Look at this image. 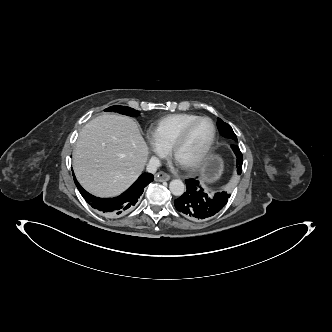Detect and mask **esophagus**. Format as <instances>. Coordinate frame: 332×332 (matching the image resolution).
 I'll return each mask as SVG.
<instances>
[{
    "instance_id": "obj_1",
    "label": "esophagus",
    "mask_w": 332,
    "mask_h": 332,
    "mask_svg": "<svg viewBox=\"0 0 332 332\" xmlns=\"http://www.w3.org/2000/svg\"><path fill=\"white\" fill-rule=\"evenodd\" d=\"M170 175L165 172H159L155 175V181L162 182L170 180Z\"/></svg>"
}]
</instances>
